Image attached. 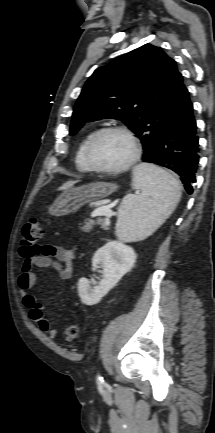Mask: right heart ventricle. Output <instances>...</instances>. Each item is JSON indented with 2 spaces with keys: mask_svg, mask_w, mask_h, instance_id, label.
Instances as JSON below:
<instances>
[{
  "mask_svg": "<svg viewBox=\"0 0 215 433\" xmlns=\"http://www.w3.org/2000/svg\"><path fill=\"white\" fill-rule=\"evenodd\" d=\"M97 131H98V128H93L90 131H88L86 133V135L84 136V138L82 139V141H81V143L77 149V152L75 155V164H76L77 169L80 172L87 173V172L92 171V169L89 167V165L87 164L86 159H85V148H86V145H87L88 141L90 140V138Z\"/></svg>",
  "mask_w": 215,
  "mask_h": 433,
  "instance_id": "obj_1",
  "label": "right heart ventricle"
}]
</instances>
